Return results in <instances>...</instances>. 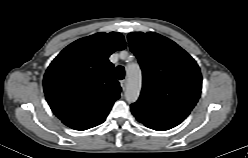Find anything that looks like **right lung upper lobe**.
Instances as JSON below:
<instances>
[{"label":"right lung upper lobe","instance_id":"1","mask_svg":"<svg viewBox=\"0 0 248 158\" xmlns=\"http://www.w3.org/2000/svg\"><path fill=\"white\" fill-rule=\"evenodd\" d=\"M125 47L121 33H96L71 43L52 61L43 88L51 110L65 125L86 130L105 121L121 92L108 57Z\"/></svg>","mask_w":248,"mask_h":158}]
</instances>
